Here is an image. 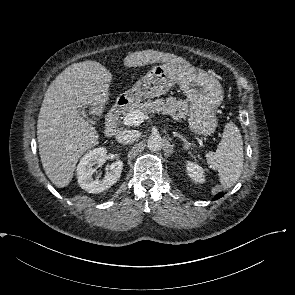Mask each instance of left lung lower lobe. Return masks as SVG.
<instances>
[{"label":"left lung lower lobe","instance_id":"1","mask_svg":"<svg viewBox=\"0 0 295 295\" xmlns=\"http://www.w3.org/2000/svg\"><path fill=\"white\" fill-rule=\"evenodd\" d=\"M224 196V193H218L215 197H214V200H217V199H219V198H221V197H223Z\"/></svg>","mask_w":295,"mask_h":295}]
</instances>
